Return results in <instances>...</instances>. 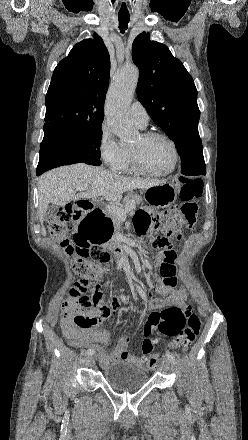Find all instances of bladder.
<instances>
[{
	"instance_id": "1",
	"label": "bladder",
	"mask_w": 248,
	"mask_h": 440,
	"mask_svg": "<svg viewBox=\"0 0 248 440\" xmlns=\"http://www.w3.org/2000/svg\"><path fill=\"white\" fill-rule=\"evenodd\" d=\"M102 376L110 387L124 391L143 386L149 379V372L144 367L117 361L105 367Z\"/></svg>"
}]
</instances>
